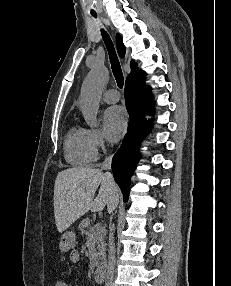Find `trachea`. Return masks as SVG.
Instances as JSON below:
<instances>
[{"label":"trachea","mask_w":231,"mask_h":286,"mask_svg":"<svg viewBox=\"0 0 231 286\" xmlns=\"http://www.w3.org/2000/svg\"><path fill=\"white\" fill-rule=\"evenodd\" d=\"M92 16L96 18V14H92ZM101 34H102L103 40L108 50L113 75L116 79L117 85L119 88H123V83H124L123 73L121 70V66H120L114 45L111 41L110 36L107 34L105 30L102 29Z\"/></svg>","instance_id":"3493384b"}]
</instances>
